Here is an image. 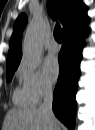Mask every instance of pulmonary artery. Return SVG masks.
Here are the masks:
<instances>
[{"label":"pulmonary artery","instance_id":"pulmonary-artery-1","mask_svg":"<svg viewBox=\"0 0 95 130\" xmlns=\"http://www.w3.org/2000/svg\"><path fill=\"white\" fill-rule=\"evenodd\" d=\"M45 47L51 53H55L59 50V45L54 40L48 41Z\"/></svg>","mask_w":95,"mask_h":130}]
</instances>
